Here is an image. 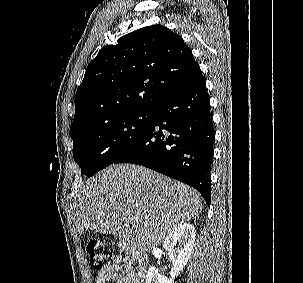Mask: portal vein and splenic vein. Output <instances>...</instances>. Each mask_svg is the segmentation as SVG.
Returning <instances> with one entry per match:
<instances>
[{
    "label": "portal vein and splenic vein",
    "instance_id": "18ae733b",
    "mask_svg": "<svg viewBox=\"0 0 303 283\" xmlns=\"http://www.w3.org/2000/svg\"><path fill=\"white\" fill-rule=\"evenodd\" d=\"M126 222L127 223L131 222V219L130 218H126Z\"/></svg>",
    "mask_w": 303,
    "mask_h": 283
}]
</instances>
